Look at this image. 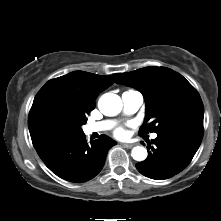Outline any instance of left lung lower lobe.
Returning <instances> with one entry per match:
<instances>
[{"mask_svg": "<svg viewBox=\"0 0 221 221\" xmlns=\"http://www.w3.org/2000/svg\"><path fill=\"white\" fill-rule=\"evenodd\" d=\"M203 127L178 126L157 133L147 147L148 157L136 164L138 171L146 177L164 180L181 172L198 150Z\"/></svg>", "mask_w": 221, "mask_h": 221, "instance_id": "1", "label": "left lung lower lobe"}]
</instances>
